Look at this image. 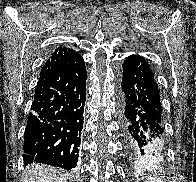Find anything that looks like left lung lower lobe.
Instances as JSON below:
<instances>
[{
    "mask_svg": "<svg viewBox=\"0 0 196 182\" xmlns=\"http://www.w3.org/2000/svg\"><path fill=\"white\" fill-rule=\"evenodd\" d=\"M122 118L131 156L152 159L163 154V116L160 89L144 60L129 56L122 71Z\"/></svg>",
    "mask_w": 196,
    "mask_h": 182,
    "instance_id": "obj_1",
    "label": "left lung lower lobe"
}]
</instances>
